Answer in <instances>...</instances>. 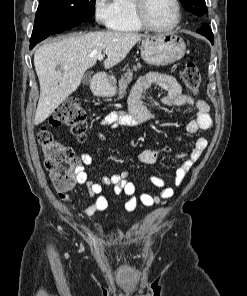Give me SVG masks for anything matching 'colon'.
Segmentation results:
<instances>
[{
	"instance_id": "1",
	"label": "colon",
	"mask_w": 247,
	"mask_h": 296,
	"mask_svg": "<svg viewBox=\"0 0 247 296\" xmlns=\"http://www.w3.org/2000/svg\"><path fill=\"white\" fill-rule=\"evenodd\" d=\"M182 79L186 87L198 94L201 85V73L193 62H187L182 69ZM86 111L77 98H67L53 113L50 126H66L70 133L83 139L87 129ZM38 141L44 154L45 167L54 187L65 192L77 181L80 161L71 148L58 141L47 126L38 133Z\"/></svg>"
}]
</instances>
